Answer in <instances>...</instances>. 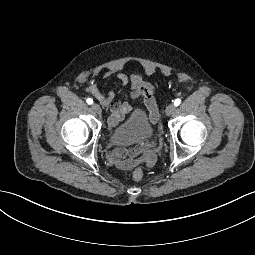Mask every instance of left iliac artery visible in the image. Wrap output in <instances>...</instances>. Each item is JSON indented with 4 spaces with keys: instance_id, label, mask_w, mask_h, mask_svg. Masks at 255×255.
Masks as SVG:
<instances>
[{
    "instance_id": "1",
    "label": "left iliac artery",
    "mask_w": 255,
    "mask_h": 255,
    "mask_svg": "<svg viewBox=\"0 0 255 255\" xmlns=\"http://www.w3.org/2000/svg\"><path fill=\"white\" fill-rule=\"evenodd\" d=\"M180 103H181V100H180V99H176V100L174 101V105H175V106H178Z\"/></svg>"
}]
</instances>
